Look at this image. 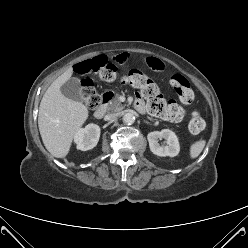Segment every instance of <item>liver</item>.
Segmentation results:
<instances>
[{"label":"liver","mask_w":248,"mask_h":248,"mask_svg":"<svg viewBox=\"0 0 248 248\" xmlns=\"http://www.w3.org/2000/svg\"><path fill=\"white\" fill-rule=\"evenodd\" d=\"M73 74L68 68L48 87L39 106L38 126L46 149L56 158H64L70 151L76 133L88 118L85 105L65 97L60 87Z\"/></svg>","instance_id":"1"}]
</instances>
